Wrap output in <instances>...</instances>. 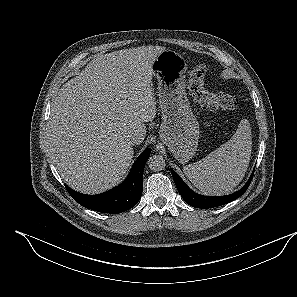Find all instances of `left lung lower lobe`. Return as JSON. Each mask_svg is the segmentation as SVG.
Here are the masks:
<instances>
[{"mask_svg":"<svg viewBox=\"0 0 297 297\" xmlns=\"http://www.w3.org/2000/svg\"><path fill=\"white\" fill-rule=\"evenodd\" d=\"M171 171H172L173 180L176 184V187H177L180 195L185 200V202H187L189 205H191L195 208L217 207V206L227 204V203L239 198L248 189V187L251 183V180L253 178V174H254V171H253L249 180L244 185V187L233 194L226 195V196H202V195L196 194L195 192L191 191L186 186V184L181 180V178L173 170H171Z\"/></svg>","mask_w":297,"mask_h":297,"instance_id":"obj_1","label":"left lung lower lobe"}]
</instances>
